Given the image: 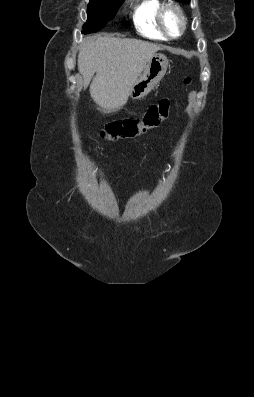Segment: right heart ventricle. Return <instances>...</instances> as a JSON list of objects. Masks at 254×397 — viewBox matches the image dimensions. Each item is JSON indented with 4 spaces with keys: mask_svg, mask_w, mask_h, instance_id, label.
<instances>
[{
    "mask_svg": "<svg viewBox=\"0 0 254 397\" xmlns=\"http://www.w3.org/2000/svg\"><path fill=\"white\" fill-rule=\"evenodd\" d=\"M133 21L136 29L144 36L166 40L167 37L160 30L157 22L159 8L163 5L162 0H134Z\"/></svg>",
    "mask_w": 254,
    "mask_h": 397,
    "instance_id": "right-heart-ventricle-1",
    "label": "right heart ventricle"
}]
</instances>
